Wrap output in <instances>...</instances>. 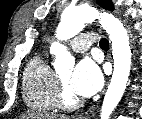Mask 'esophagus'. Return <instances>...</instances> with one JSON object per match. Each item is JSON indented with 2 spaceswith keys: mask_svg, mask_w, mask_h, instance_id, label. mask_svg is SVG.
<instances>
[{
  "mask_svg": "<svg viewBox=\"0 0 142 119\" xmlns=\"http://www.w3.org/2000/svg\"><path fill=\"white\" fill-rule=\"evenodd\" d=\"M91 112H92V111L86 113V114L83 115V116H80V119H88Z\"/></svg>",
  "mask_w": 142,
  "mask_h": 119,
  "instance_id": "obj_1",
  "label": "esophagus"
}]
</instances>
